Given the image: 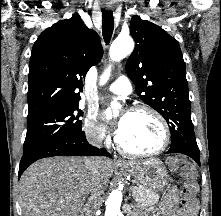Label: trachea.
Masks as SVG:
<instances>
[{"label": "trachea", "instance_id": "trachea-1", "mask_svg": "<svg viewBox=\"0 0 221 216\" xmlns=\"http://www.w3.org/2000/svg\"><path fill=\"white\" fill-rule=\"evenodd\" d=\"M102 34L106 44H109L114 29V18L112 11L102 13Z\"/></svg>", "mask_w": 221, "mask_h": 216}]
</instances>
